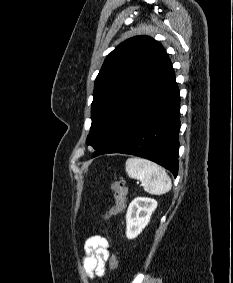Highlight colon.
Wrapping results in <instances>:
<instances>
[{"instance_id":"obj_1","label":"colon","mask_w":233,"mask_h":283,"mask_svg":"<svg viewBox=\"0 0 233 283\" xmlns=\"http://www.w3.org/2000/svg\"><path fill=\"white\" fill-rule=\"evenodd\" d=\"M110 189L114 194L115 204L105 215V220L120 213L124 209L127 201L128 190L122 180H116L112 182ZM109 265L113 271L117 270L118 268V260L114 254L109 256Z\"/></svg>"}]
</instances>
